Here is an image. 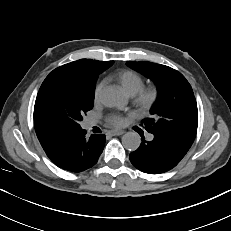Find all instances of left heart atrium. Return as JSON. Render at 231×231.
<instances>
[{"mask_svg": "<svg viewBox=\"0 0 231 231\" xmlns=\"http://www.w3.org/2000/svg\"><path fill=\"white\" fill-rule=\"evenodd\" d=\"M109 122L116 126V127H121L123 125H125L126 123V118L122 115H119V114H115V115H112L110 118H109Z\"/></svg>", "mask_w": 231, "mask_h": 231, "instance_id": "1", "label": "left heart atrium"}]
</instances>
